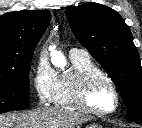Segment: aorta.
Masks as SVG:
<instances>
[{
    "label": "aorta",
    "instance_id": "obj_1",
    "mask_svg": "<svg viewBox=\"0 0 142 128\" xmlns=\"http://www.w3.org/2000/svg\"><path fill=\"white\" fill-rule=\"evenodd\" d=\"M50 51L52 52L53 59L52 62L55 66L63 68L66 65V59L63 54L55 51V47H50Z\"/></svg>",
    "mask_w": 142,
    "mask_h": 128
}]
</instances>
